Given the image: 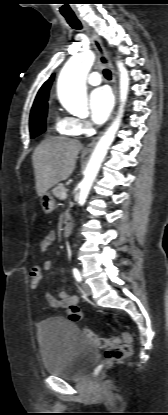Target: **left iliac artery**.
Wrapping results in <instances>:
<instances>
[{
  "label": "left iliac artery",
  "mask_w": 168,
  "mask_h": 415,
  "mask_svg": "<svg viewBox=\"0 0 168 415\" xmlns=\"http://www.w3.org/2000/svg\"><path fill=\"white\" fill-rule=\"evenodd\" d=\"M73 274H74V277H75V279H76L77 282H81L82 281L81 274H80V272H79V270L77 268H74L73 269Z\"/></svg>",
  "instance_id": "left-iliac-artery-1"
}]
</instances>
